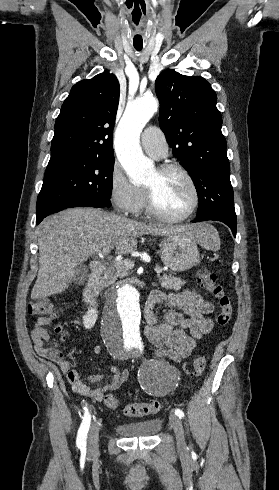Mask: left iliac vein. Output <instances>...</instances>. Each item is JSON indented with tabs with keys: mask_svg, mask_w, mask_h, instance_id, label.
<instances>
[{
	"mask_svg": "<svg viewBox=\"0 0 279 490\" xmlns=\"http://www.w3.org/2000/svg\"><path fill=\"white\" fill-rule=\"evenodd\" d=\"M169 423L175 432L177 449L179 451H185L187 443L185 441L184 429L180 418L174 414H170Z\"/></svg>",
	"mask_w": 279,
	"mask_h": 490,
	"instance_id": "4c4485c4",
	"label": "left iliac vein"
}]
</instances>
